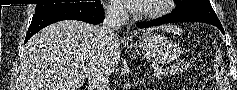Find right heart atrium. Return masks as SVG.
Masks as SVG:
<instances>
[{"mask_svg": "<svg viewBox=\"0 0 237 90\" xmlns=\"http://www.w3.org/2000/svg\"><path fill=\"white\" fill-rule=\"evenodd\" d=\"M111 12L116 15V16H119L121 13H122V10L120 7L118 6H115L113 8H111Z\"/></svg>", "mask_w": 237, "mask_h": 90, "instance_id": "1", "label": "right heart atrium"}]
</instances>
